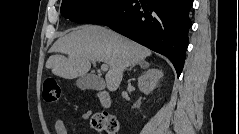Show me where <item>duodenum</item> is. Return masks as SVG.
<instances>
[{
  "instance_id": "1",
  "label": "duodenum",
  "mask_w": 239,
  "mask_h": 134,
  "mask_svg": "<svg viewBox=\"0 0 239 134\" xmlns=\"http://www.w3.org/2000/svg\"><path fill=\"white\" fill-rule=\"evenodd\" d=\"M100 100L102 102V105L105 107H110L112 104L111 97L108 93L106 92H100L99 93Z\"/></svg>"
}]
</instances>
